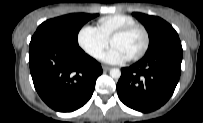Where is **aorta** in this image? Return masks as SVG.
I'll return each mask as SVG.
<instances>
[{
  "label": "aorta",
  "instance_id": "1",
  "mask_svg": "<svg viewBox=\"0 0 203 123\" xmlns=\"http://www.w3.org/2000/svg\"><path fill=\"white\" fill-rule=\"evenodd\" d=\"M110 76L113 78V79H119L120 76H121V71L120 69L118 68H113L110 70Z\"/></svg>",
  "mask_w": 203,
  "mask_h": 123
}]
</instances>
